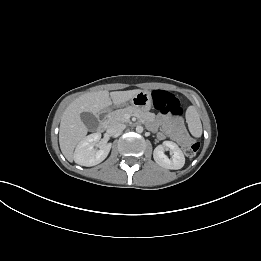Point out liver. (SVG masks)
Instances as JSON below:
<instances>
[{
	"instance_id": "6515ba94",
	"label": "liver",
	"mask_w": 261,
	"mask_h": 261,
	"mask_svg": "<svg viewBox=\"0 0 261 261\" xmlns=\"http://www.w3.org/2000/svg\"><path fill=\"white\" fill-rule=\"evenodd\" d=\"M140 89L128 91L106 90L90 92L76 98L65 109L60 122L59 144L63 155L68 161H73V152L76 145L85 138L88 129L81 120V113L90 112L98 114L107 107L121 105L129 101Z\"/></svg>"
}]
</instances>
